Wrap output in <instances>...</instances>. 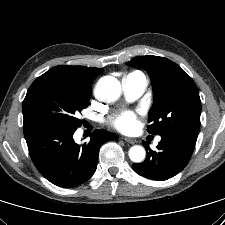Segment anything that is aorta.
<instances>
[{
  "instance_id": "aorta-1",
  "label": "aorta",
  "mask_w": 225,
  "mask_h": 225,
  "mask_svg": "<svg viewBox=\"0 0 225 225\" xmlns=\"http://www.w3.org/2000/svg\"><path fill=\"white\" fill-rule=\"evenodd\" d=\"M96 96L102 102L116 101L121 94V84L118 79L113 76H104L96 84ZM146 157L144 147L134 145L129 150V158L134 163H141Z\"/></svg>"
}]
</instances>
